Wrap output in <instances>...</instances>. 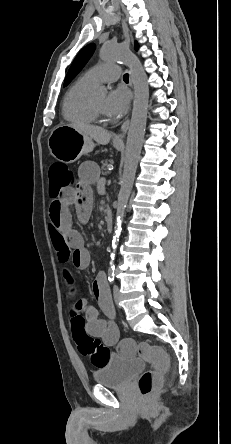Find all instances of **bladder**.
Here are the masks:
<instances>
[{"label": "bladder", "mask_w": 231, "mask_h": 444, "mask_svg": "<svg viewBox=\"0 0 231 444\" xmlns=\"http://www.w3.org/2000/svg\"><path fill=\"white\" fill-rule=\"evenodd\" d=\"M144 368L140 359H125L117 354L109 355L106 363L94 372L98 385L109 388H121Z\"/></svg>", "instance_id": "1"}]
</instances>
